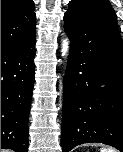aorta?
<instances>
[{
  "mask_svg": "<svg viewBox=\"0 0 123 152\" xmlns=\"http://www.w3.org/2000/svg\"><path fill=\"white\" fill-rule=\"evenodd\" d=\"M69 48H70V42H69V39L68 38H65L63 41H62V56L63 57H66L69 53Z\"/></svg>",
  "mask_w": 123,
  "mask_h": 152,
  "instance_id": "762f6f07",
  "label": "aorta"
}]
</instances>
